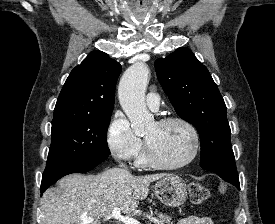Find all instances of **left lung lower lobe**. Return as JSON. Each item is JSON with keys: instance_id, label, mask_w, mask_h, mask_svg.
I'll use <instances>...</instances> for the list:
<instances>
[{"instance_id": "0a47b994", "label": "left lung lower lobe", "mask_w": 275, "mask_h": 224, "mask_svg": "<svg viewBox=\"0 0 275 224\" xmlns=\"http://www.w3.org/2000/svg\"><path fill=\"white\" fill-rule=\"evenodd\" d=\"M226 181L232 183V184L235 185L238 189H240V185H239V180H238V179L229 178V179H226Z\"/></svg>"}]
</instances>
